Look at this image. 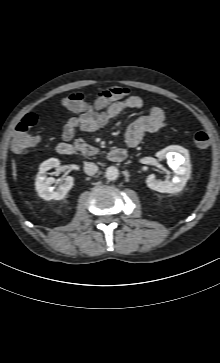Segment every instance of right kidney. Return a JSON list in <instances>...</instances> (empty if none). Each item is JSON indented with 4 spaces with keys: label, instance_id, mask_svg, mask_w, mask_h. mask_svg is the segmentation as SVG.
Segmentation results:
<instances>
[{
    "label": "right kidney",
    "instance_id": "ca27d5eb",
    "mask_svg": "<svg viewBox=\"0 0 220 363\" xmlns=\"http://www.w3.org/2000/svg\"><path fill=\"white\" fill-rule=\"evenodd\" d=\"M59 165L60 161L58 159L50 158L41 163L39 167V172L36 176L35 188L38 192V195L44 200H61L66 196L67 192L74 185V178L71 176H67L65 178V182L59 187V190H53L51 184L54 182V178H47L46 172L52 168L58 167Z\"/></svg>",
    "mask_w": 220,
    "mask_h": 363
}]
</instances>
